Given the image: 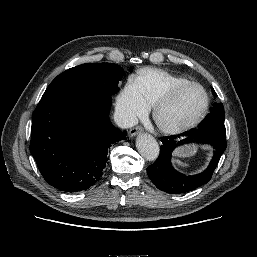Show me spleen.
Wrapping results in <instances>:
<instances>
[{"instance_id":"obj_1","label":"spleen","mask_w":257,"mask_h":257,"mask_svg":"<svg viewBox=\"0 0 257 257\" xmlns=\"http://www.w3.org/2000/svg\"><path fill=\"white\" fill-rule=\"evenodd\" d=\"M174 162H175L179 167H183V168L189 167V164H188V163H184V162H182V161H180V160H175Z\"/></svg>"}]
</instances>
